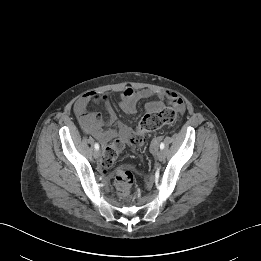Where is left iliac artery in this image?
Listing matches in <instances>:
<instances>
[{
  "label": "left iliac artery",
  "mask_w": 261,
  "mask_h": 261,
  "mask_svg": "<svg viewBox=\"0 0 261 261\" xmlns=\"http://www.w3.org/2000/svg\"><path fill=\"white\" fill-rule=\"evenodd\" d=\"M165 148V144L164 143H161L160 144V149L163 150Z\"/></svg>",
  "instance_id": "obj_1"
}]
</instances>
